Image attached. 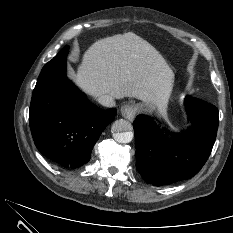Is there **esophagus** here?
<instances>
[{
  "mask_svg": "<svg viewBox=\"0 0 233 233\" xmlns=\"http://www.w3.org/2000/svg\"><path fill=\"white\" fill-rule=\"evenodd\" d=\"M121 115L132 121L136 114H137V111H138V105L137 104H134V103H130V104H125L121 107Z\"/></svg>",
  "mask_w": 233,
  "mask_h": 233,
  "instance_id": "34e87169",
  "label": "esophagus"
}]
</instances>
